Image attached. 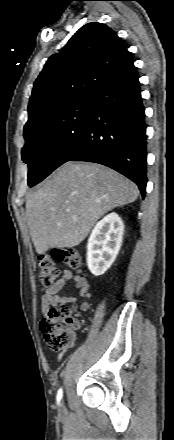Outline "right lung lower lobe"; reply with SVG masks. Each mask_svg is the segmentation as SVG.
<instances>
[{
	"instance_id": "98d812e1",
	"label": "right lung lower lobe",
	"mask_w": 174,
	"mask_h": 440,
	"mask_svg": "<svg viewBox=\"0 0 174 440\" xmlns=\"http://www.w3.org/2000/svg\"><path fill=\"white\" fill-rule=\"evenodd\" d=\"M139 76L134 65L93 93L94 105L85 134L66 161L108 166L146 193V123Z\"/></svg>"
}]
</instances>
